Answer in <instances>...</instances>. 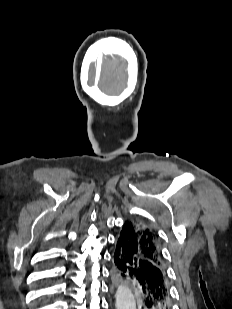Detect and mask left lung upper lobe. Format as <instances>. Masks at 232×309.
I'll return each mask as SVG.
<instances>
[{"instance_id":"left-lung-upper-lobe-1","label":"left lung upper lobe","mask_w":232,"mask_h":309,"mask_svg":"<svg viewBox=\"0 0 232 309\" xmlns=\"http://www.w3.org/2000/svg\"><path fill=\"white\" fill-rule=\"evenodd\" d=\"M133 231L142 255L164 268L161 246L156 231L146 222L132 219L126 221Z\"/></svg>"}]
</instances>
